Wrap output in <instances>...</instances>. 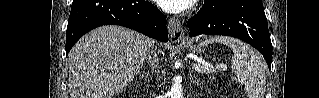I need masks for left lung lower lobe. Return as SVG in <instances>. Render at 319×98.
<instances>
[{
	"mask_svg": "<svg viewBox=\"0 0 319 98\" xmlns=\"http://www.w3.org/2000/svg\"><path fill=\"white\" fill-rule=\"evenodd\" d=\"M187 25L189 36L226 35L249 43L271 69L272 44L261 0H204L202 9Z\"/></svg>",
	"mask_w": 319,
	"mask_h": 98,
	"instance_id": "0a47b994",
	"label": "left lung lower lobe"
}]
</instances>
